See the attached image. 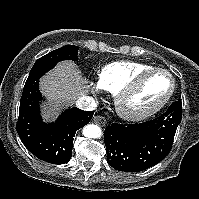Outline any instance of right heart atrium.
<instances>
[{
	"mask_svg": "<svg viewBox=\"0 0 199 199\" xmlns=\"http://www.w3.org/2000/svg\"><path fill=\"white\" fill-rule=\"evenodd\" d=\"M101 87L99 86L98 83H95L92 85V91L95 93V94H98L100 91H101Z\"/></svg>",
	"mask_w": 199,
	"mask_h": 199,
	"instance_id": "d8ad5b80",
	"label": "right heart atrium"
}]
</instances>
